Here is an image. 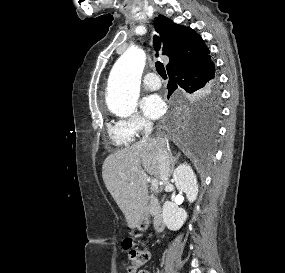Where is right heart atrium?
I'll return each mask as SVG.
<instances>
[{
    "instance_id": "right-heart-atrium-1",
    "label": "right heart atrium",
    "mask_w": 285,
    "mask_h": 273,
    "mask_svg": "<svg viewBox=\"0 0 285 273\" xmlns=\"http://www.w3.org/2000/svg\"><path fill=\"white\" fill-rule=\"evenodd\" d=\"M118 124L133 138L147 133L152 126L148 119L139 114H134L127 118L121 119Z\"/></svg>"
}]
</instances>
